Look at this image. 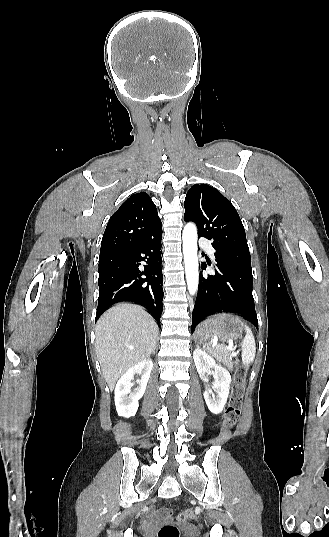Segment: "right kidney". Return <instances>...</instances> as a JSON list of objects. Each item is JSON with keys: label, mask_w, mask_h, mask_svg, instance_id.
<instances>
[{"label": "right kidney", "mask_w": 329, "mask_h": 537, "mask_svg": "<svg viewBox=\"0 0 329 537\" xmlns=\"http://www.w3.org/2000/svg\"><path fill=\"white\" fill-rule=\"evenodd\" d=\"M153 368L151 359H146L127 370L115 387V405L119 416L129 418L136 414L139 399L143 396ZM141 375L138 387L133 388L134 375Z\"/></svg>", "instance_id": "obj_1"}]
</instances>
